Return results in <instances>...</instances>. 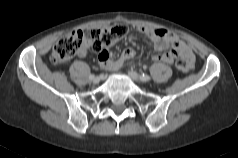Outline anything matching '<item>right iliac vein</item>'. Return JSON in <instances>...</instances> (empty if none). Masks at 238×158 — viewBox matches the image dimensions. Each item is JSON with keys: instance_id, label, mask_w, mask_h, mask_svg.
Masks as SVG:
<instances>
[{"instance_id": "obj_1", "label": "right iliac vein", "mask_w": 238, "mask_h": 158, "mask_svg": "<svg viewBox=\"0 0 238 158\" xmlns=\"http://www.w3.org/2000/svg\"><path fill=\"white\" fill-rule=\"evenodd\" d=\"M100 82V78L99 77H95L94 79H93V83L94 84H98Z\"/></svg>"}]
</instances>
